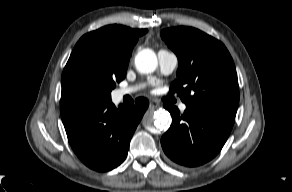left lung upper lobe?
<instances>
[{
	"label": "left lung upper lobe",
	"mask_w": 292,
	"mask_h": 192,
	"mask_svg": "<svg viewBox=\"0 0 292 192\" xmlns=\"http://www.w3.org/2000/svg\"><path fill=\"white\" fill-rule=\"evenodd\" d=\"M177 55V79L170 93L180 95L186 107L223 110L236 114L239 88L235 65L219 40L191 27L161 31Z\"/></svg>",
	"instance_id": "5c2ea615"
}]
</instances>
